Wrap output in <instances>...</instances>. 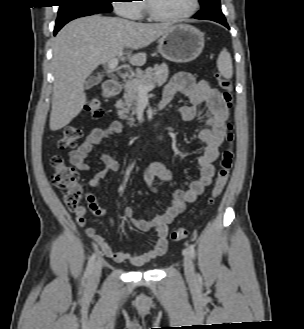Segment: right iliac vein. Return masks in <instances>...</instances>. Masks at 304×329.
<instances>
[{
    "instance_id": "63e3f726",
    "label": "right iliac vein",
    "mask_w": 304,
    "mask_h": 329,
    "mask_svg": "<svg viewBox=\"0 0 304 329\" xmlns=\"http://www.w3.org/2000/svg\"><path fill=\"white\" fill-rule=\"evenodd\" d=\"M101 271H102V263L100 260L96 262V264L93 267L91 276H90V284L91 285H96L100 279L101 276Z\"/></svg>"
}]
</instances>
